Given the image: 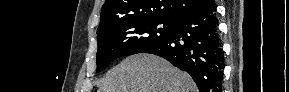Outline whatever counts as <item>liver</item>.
I'll return each mask as SVG.
<instances>
[{"label":"liver","instance_id":"obj_1","mask_svg":"<svg viewBox=\"0 0 289 92\" xmlns=\"http://www.w3.org/2000/svg\"><path fill=\"white\" fill-rule=\"evenodd\" d=\"M98 92H197V87L165 59L135 54L107 72Z\"/></svg>","mask_w":289,"mask_h":92}]
</instances>
